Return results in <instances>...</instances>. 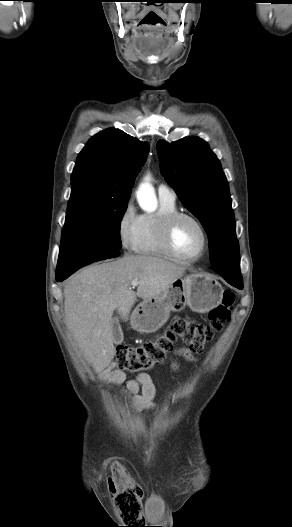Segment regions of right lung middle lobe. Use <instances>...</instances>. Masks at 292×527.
I'll return each mask as SVG.
<instances>
[{"label": "right lung middle lobe", "instance_id": "dd1d6c3e", "mask_svg": "<svg viewBox=\"0 0 292 527\" xmlns=\"http://www.w3.org/2000/svg\"><path fill=\"white\" fill-rule=\"evenodd\" d=\"M129 198H115L102 191L72 188L61 248L104 246L119 250L120 222Z\"/></svg>", "mask_w": 292, "mask_h": 527}]
</instances>
